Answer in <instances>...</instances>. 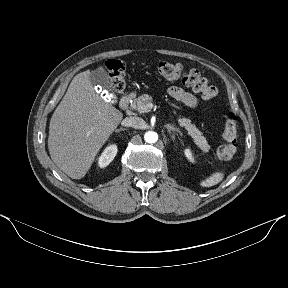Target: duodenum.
I'll use <instances>...</instances> for the list:
<instances>
[{
    "instance_id": "obj_1",
    "label": "duodenum",
    "mask_w": 288,
    "mask_h": 288,
    "mask_svg": "<svg viewBox=\"0 0 288 288\" xmlns=\"http://www.w3.org/2000/svg\"><path fill=\"white\" fill-rule=\"evenodd\" d=\"M133 98L132 94H125L124 96H122L121 100H120V107L123 110H126L131 102Z\"/></svg>"
}]
</instances>
